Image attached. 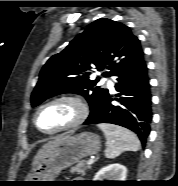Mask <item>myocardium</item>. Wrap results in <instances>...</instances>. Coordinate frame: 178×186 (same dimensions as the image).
<instances>
[{
	"instance_id": "myocardium-1",
	"label": "myocardium",
	"mask_w": 178,
	"mask_h": 186,
	"mask_svg": "<svg viewBox=\"0 0 178 186\" xmlns=\"http://www.w3.org/2000/svg\"><path fill=\"white\" fill-rule=\"evenodd\" d=\"M57 102L72 103L76 107V110H77L76 116L74 117V119L70 123H68L67 125H65L61 128H58L53 131H44L38 125L37 116H38L39 112L41 111V109H43L44 107L49 106L51 104L57 103ZM88 113H89V110H88L87 104L79 96L70 95V94L60 95V96L54 97V98L42 103L41 105H39L34 113L33 122H34L35 127L43 134L55 135V134L69 131L71 129H75V128L79 127L87 119Z\"/></svg>"
}]
</instances>
